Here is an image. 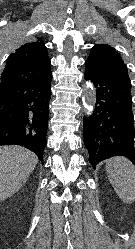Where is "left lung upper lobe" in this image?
I'll return each mask as SVG.
<instances>
[{"mask_svg":"<svg viewBox=\"0 0 135 249\" xmlns=\"http://www.w3.org/2000/svg\"><path fill=\"white\" fill-rule=\"evenodd\" d=\"M95 70L107 76L130 81L127 66L120 54L107 44H97L91 49V53L85 62Z\"/></svg>","mask_w":135,"mask_h":249,"instance_id":"1","label":"left lung upper lobe"}]
</instances>
